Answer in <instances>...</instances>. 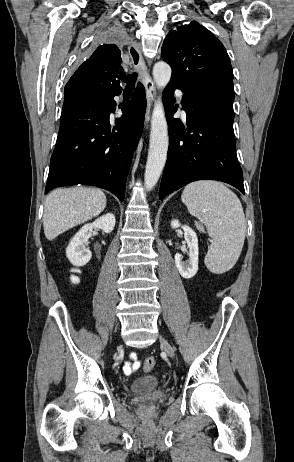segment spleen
I'll use <instances>...</instances> for the list:
<instances>
[{"label":"spleen","instance_id":"3e777b00","mask_svg":"<svg viewBox=\"0 0 294 462\" xmlns=\"http://www.w3.org/2000/svg\"><path fill=\"white\" fill-rule=\"evenodd\" d=\"M181 199L212 238L205 256L207 268L215 274L230 270L241 254L246 234L245 215L237 195L217 181H197L184 188Z\"/></svg>","mask_w":294,"mask_h":462}]
</instances>
